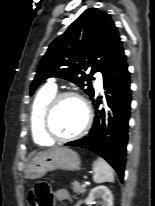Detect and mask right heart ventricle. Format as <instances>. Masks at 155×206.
<instances>
[{
  "instance_id": "right-heart-ventricle-1",
  "label": "right heart ventricle",
  "mask_w": 155,
  "mask_h": 206,
  "mask_svg": "<svg viewBox=\"0 0 155 206\" xmlns=\"http://www.w3.org/2000/svg\"><path fill=\"white\" fill-rule=\"evenodd\" d=\"M55 94L56 87L52 84H47L37 93L32 103L30 126L32 137L38 145L48 146L52 144V140H50L43 132L42 115L45 107Z\"/></svg>"
}]
</instances>
